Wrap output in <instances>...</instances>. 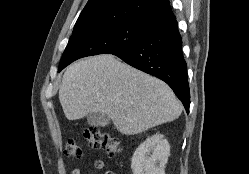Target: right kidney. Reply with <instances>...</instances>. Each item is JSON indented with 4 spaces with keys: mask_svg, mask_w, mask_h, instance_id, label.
Segmentation results:
<instances>
[{
    "mask_svg": "<svg viewBox=\"0 0 249 174\" xmlns=\"http://www.w3.org/2000/svg\"><path fill=\"white\" fill-rule=\"evenodd\" d=\"M152 153L150 157L148 154ZM170 155L167 139L161 134H155L144 141L135 150L131 169L133 174H165V167Z\"/></svg>",
    "mask_w": 249,
    "mask_h": 174,
    "instance_id": "right-kidney-1",
    "label": "right kidney"
}]
</instances>
